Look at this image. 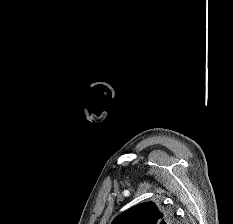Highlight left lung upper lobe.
Returning a JSON list of instances; mask_svg holds the SVG:
<instances>
[{
	"label": "left lung upper lobe",
	"instance_id": "1",
	"mask_svg": "<svg viewBox=\"0 0 233 224\" xmlns=\"http://www.w3.org/2000/svg\"><path fill=\"white\" fill-rule=\"evenodd\" d=\"M174 215L161 204L145 202L118 215L112 224H174Z\"/></svg>",
	"mask_w": 233,
	"mask_h": 224
}]
</instances>
